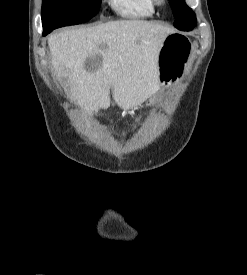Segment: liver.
Wrapping results in <instances>:
<instances>
[{"mask_svg": "<svg viewBox=\"0 0 247 275\" xmlns=\"http://www.w3.org/2000/svg\"><path fill=\"white\" fill-rule=\"evenodd\" d=\"M171 33L157 23L123 19L55 33L48 46L66 92L93 115L110 106V89L123 110H135L157 93L158 52Z\"/></svg>", "mask_w": 247, "mask_h": 275, "instance_id": "obj_1", "label": "liver"}]
</instances>
